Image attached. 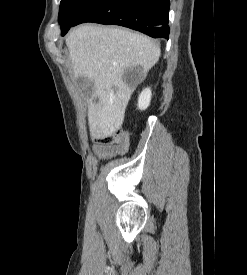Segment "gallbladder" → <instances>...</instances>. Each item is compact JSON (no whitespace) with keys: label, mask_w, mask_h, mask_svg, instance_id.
<instances>
[{"label":"gallbladder","mask_w":247,"mask_h":275,"mask_svg":"<svg viewBox=\"0 0 247 275\" xmlns=\"http://www.w3.org/2000/svg\"><path fill=\"white\" fill-rule=\"evenodd\" d=\"M77 82L84 87L86 92L90 95L93 92L94 83L81 76L77 79Z\"/></svg>","instance_id":"1"}]
</instances>
